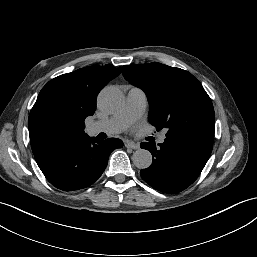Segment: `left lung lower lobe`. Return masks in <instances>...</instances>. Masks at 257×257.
<instances>
[{"mask_svg": "<svg viewBox=\"0 0 257 257\" xmlns=\"http://www.w3.org/2000/svg\"><path fill=\"white\" fill-rule=\"evenodd\" d=\"M141 143L152 153L153 162L140 171L141 177L154 189L178 193L200 175L213 148V134H186L177 139L166 138L163 144Z\"/></svg>", "mask_w": 257, "mask_h": 257, "instance_id": "left-lung-lower-lobe-1", "label": "left lung lower lobe"}]
</instances>
